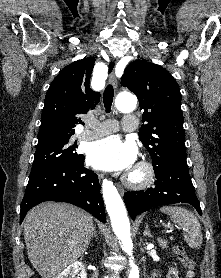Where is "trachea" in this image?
I'll return each mask as SVG.
<instances>
[{
  "mask_svg": "<svg viewBox=\"0 0 221 278\" xmlns=\"http://www.w3.org/2000/svg\"><path fill=\"white\" fill-rule=\"evenodd\" d=\"M113 98H114V89L112 85H107L103 93V103L107 113H109L111 110Z\"/></svg>",
  "mask_w": 221,
  "mask_h": 278,
  "instance_id": "trachea-1",
  "label": "trachea"
}]
</instances>
